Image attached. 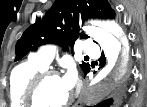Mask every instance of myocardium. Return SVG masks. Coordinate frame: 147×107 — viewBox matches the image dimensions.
<instances>
[{"label": "myocardium", "instance_id": "obj_1", "mask_svg": "<svg viewBox=\"0 0 147 107\" xmlns=\"http://www.w3.org/2000/svg\"><path fill=\"white\" fill-rule=\"evenodd\" d=\"M52 77H59V74L57 71L48 68H45L34 76V78L29 83L25 94V103L27 107H67L71 104L72 96H69L65 102L57 106H45L40 103L38 94L41 86L47 79Z\"/></svg>", "mask_w": 147, "mask_h": 107}]
</instances>
